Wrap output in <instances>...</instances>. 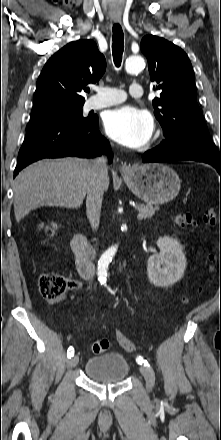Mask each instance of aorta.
<instances>
[{"instance_id":"762f6f07","label":"aorta","mask_w":221,"mask_h":440,"mask_svg":"<svg viewBox=\"0 0 221 440\" xmlns=\"http://www.w3.org/2000/svg\"><path fill=\"white\" fill-rule=\"evenodd\" d=\"M145 67L144 59L141 56H131L126 60L125 69L129 74L139 73ZM116 246H112L103 253L98 262L97 275L101 284L107 280V270L115 252Z\"/></svg>"}]
</instances>
